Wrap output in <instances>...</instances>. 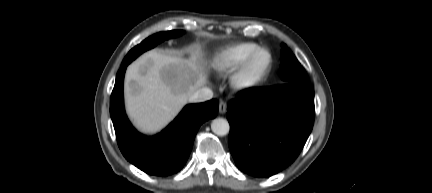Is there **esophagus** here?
<instances>
[{
    "mask_svg": "<svg viewBox=\"0 0 432 193\" xmlns=\"http://www.w3.org/2000/svg\"><path fill=\"white\" fill-rule=\"evenodd\" d=\"M226 110H227V104H226V102L221 101L219 103V113L220 114H224L226 112Z\"/></svg>",
    "mask_w": 432,
    "mask_h": 193,
    "instance_id": "esophagus-1",
    "label": "esophagus"
}]
</instances>
